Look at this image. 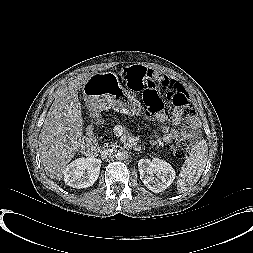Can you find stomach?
<instances>
[{
  "label": "stomach",
  "instance_id": "1",
  "mask_svg": "<svg viewBox=\"0 0 253 253\" xmlns=\"http://www.w3.org/2000/svg\"><path fill=\"white\" fill-rule=\"evenodd\" d=\"M84 99L92 108L114 110L131 116L139 115L141 104L132 94L124 92L115 74H93L83 86Z\"/></svg>",
  "mask_w": 253,
  "mask_h": 253
}]
</instances>
